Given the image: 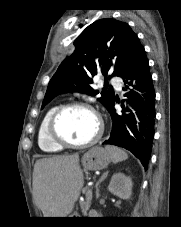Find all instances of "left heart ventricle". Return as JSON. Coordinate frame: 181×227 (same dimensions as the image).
Instances as JSON below:
<instances>
[{
    "label": "left heart ventricle",
    "instance_id": "1",
    "mask_svg": "<svg viewBox=\"0 0 181 227\" xmlns=\"http://www.w3.org/2000/svg\"><path fill=\"white\" fill-rule=\"evenodd\" d=\"M95 116L84 108H71L62 113L57 122L59 134L72 143H84L97 132Z\"/></svg>",
    "mask_w": 181,
    "mask_h": 227
}]
</instances>
